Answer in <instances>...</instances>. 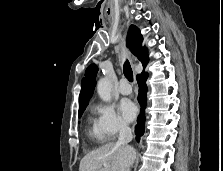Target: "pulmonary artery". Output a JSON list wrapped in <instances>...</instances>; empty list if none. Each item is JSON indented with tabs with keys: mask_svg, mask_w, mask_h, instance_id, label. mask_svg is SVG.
I'll list each match as a JSON object with an SVG mask.
<instances>
[{
	"mask_svg": "<svg viewBox=\"0 0 223 171\" xmlns=\"http://www.w3.org/2000/svg\"><path fill=\"white\" fill-rule=\"evenodd\" d=\"M119 92L122 95H129L132 92V87L130 86V84L127 82L126 79H121L119 84Z\"/></svg>",
	"mask_w": 223,
	"mask_h": 171,
	"instance_id": "e3ab8cb5",
	"label": "pulmonary artery"
}]
</instances>
